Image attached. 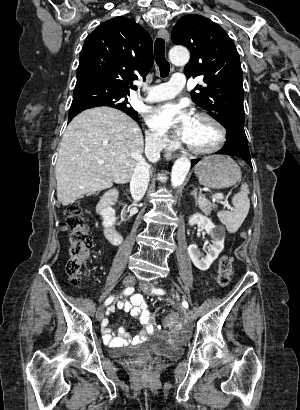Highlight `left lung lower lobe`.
Returning a JSON list of instances; mask_svg holds the SVG:
<instances>
[{"label": "left lung lower lobe", "mask_w": 300, "mask_h": 410, "mask_svg": "<svg viewBox=\"0 0 300 410\" xmlns=\"http://www.w3.org/2000/svg\"><path fill=\"white\" fill-rule=\"evenodd\" d=\"M215 154H227L241 157L252 167L247 137L243 129L229 127L227 129V139L224 147ZM197 162L198 160H192V166Z\"/></svg>", "instance_id": "left-lung-lower-lobe-1"}]
</instances>
